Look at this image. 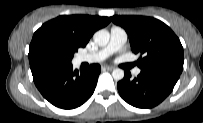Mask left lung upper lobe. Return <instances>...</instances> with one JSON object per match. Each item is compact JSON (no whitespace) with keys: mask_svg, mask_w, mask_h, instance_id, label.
Here are the masks:
<instances>
[{"mask_svg":"<svg viewBox=\"0 0 203 123\" xmlns=\"http://www.w3.org/2000/svg\"><path fill=\"white\" fill-rule=\"evenodd\" d=\"M110 20L123 27L141 70H166L181 74L184 54L179 38L162 21L145 16H112Z\"/></svg>","mask_w":203,"mask_h":123,"instance_id":"5c2ea615","label":"left lung upper lobe"}]
</instances>
